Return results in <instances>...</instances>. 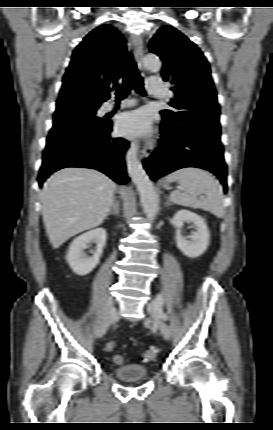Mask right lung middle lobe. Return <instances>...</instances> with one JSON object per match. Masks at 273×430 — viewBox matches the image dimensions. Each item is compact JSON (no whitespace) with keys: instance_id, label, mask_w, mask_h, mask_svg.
Here are the masks:
<instances>
[{"instance_id":"dd1d6c3e","label":"right lung middle lobe","mask_w":273,"mask_h":430,"mask_svg":"<svg viewBox=\"0 0 273 430\" xmlns=\"http://www.w3.org/2000/svg\"><path fill=\"white\" fill-rule=\"evenodd\" d=\"M98 107L82 100H70L57 106L47 144L90 135L107 125L108 121L95 116Z\"/></svg>"}]
</instances>
